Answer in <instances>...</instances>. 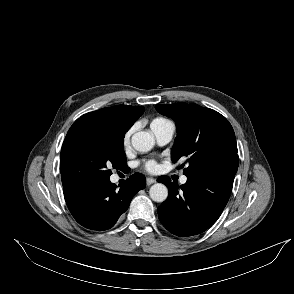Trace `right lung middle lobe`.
I'll list each match as a JSON object with an SVG mask.
<instances>
[{"mask_svg": "<svg viewBox=\"0 0 294 294\" xmlns=\"http://www.w3.org/2000/svg\"><path fill=\"white\" fill-rule=\"evenodd\" d=\"M125 132L107 127H77L68 131L60 157L63 186L108 179L111 169L127 166Z\"/></svg>", "mask_w": 294, "mask_h": 294, "instance_id": "obj_1", "label": "right lung middle lobe"}]
</instances>
